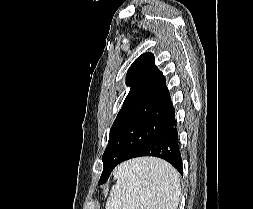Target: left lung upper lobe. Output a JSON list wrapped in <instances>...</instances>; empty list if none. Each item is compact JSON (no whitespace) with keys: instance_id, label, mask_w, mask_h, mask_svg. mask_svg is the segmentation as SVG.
Returning a JSON list of instances; mask_svg holds the SVG:
<instances>
[{"instance_id":"5c2ea615","label":"left lung upper lobe","mask_w":253,"mask_h":209,"mask_svg":"<svg viewBox=\"0 0 253 209\" xmlns=\"http://www.w3.org/2000/svg\"><path fill=\"white\" fill-rule=\"evenodd\" d=\"M126 82L131 88L110 129L102 156L103 171L139 152L175 115L165 77L155 66L151 53H144L133 62Z\"/></svg>"}]
</instances>
